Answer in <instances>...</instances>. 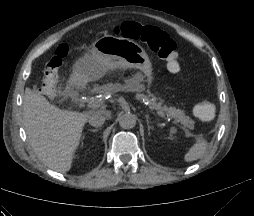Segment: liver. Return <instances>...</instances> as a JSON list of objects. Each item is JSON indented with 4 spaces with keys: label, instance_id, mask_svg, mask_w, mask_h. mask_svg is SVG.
I'll use <instances>...</instances> for the list:
<instances>
[{
    "label": "liver",
    "instance_id": "6515ba94",
    "mask_svg": "<svg viewBox=\"0 0 254 216\" xmlns=\"http://www.w3.org/2000/svg\"><path fill=\"white\" fill-rule=\"evenodd\" d=\"M80 60L74 64L73 69ZM116 69L118 64L106 63L102 75ZM94 113L110 117V112L104 109L87 113L62 110L44 96L30 89L25 91L23 122L29 143L42 163L61 173L71 169L83 128Z\"/></svg>",
    "mask_w": 254,
    "mask_h": 216
}]
</instances>
